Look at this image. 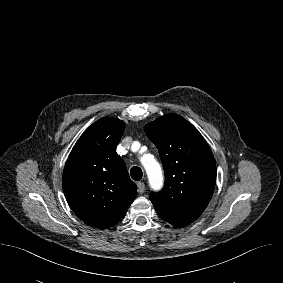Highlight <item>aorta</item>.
<instances>
[{
	"mask_svg": "<svg viewBox=\"0 0 283 283\" xmlns=\"http://www.w3.org/2000/svg\"><path fill=\"white\" fill-rule=\"evenodd\" d=\"M141 161L146 170L150 186L155 190L160 189L163 184V174L160 164L150 154L144 155Z\"/></svg>",
	"mask_w": 283,
	"mask_h": 283,
	"instance_id": "obj_1",
	"label": "aorta"
}]
</instances>
